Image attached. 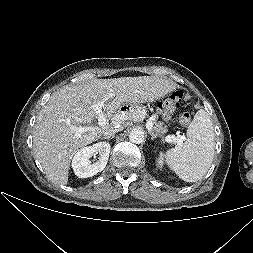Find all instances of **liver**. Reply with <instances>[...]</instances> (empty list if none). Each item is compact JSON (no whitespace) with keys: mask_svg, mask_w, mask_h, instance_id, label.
Segmentation results:
<instances>
[{"mask_svg":"<svg viewBox=\"0 0 253 253\" xmlns=\"http://www.w3.org/2000/svg\"><path fill=\"white\" fill-rule=\"evenodd\" d=\"M177 85L158 76L95 79L80 85H66L55 91L37 116L33 131V149L48 178L66 185L73 156L84 146L98 140L112 129L123 130L126 120L139 122L144 111H120L124 104L153 102L174 91ZM104 101L103 115L112 123L90 126L77 134L76 127L90 125L97 117L92 106ZM115 115L123 120L116 121ZM89 127V126H84Z\"/></svg>","mask_w":253,"mask_h":253,"instance_id":"6515ba94","label":"liver"}]
</instances>
